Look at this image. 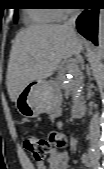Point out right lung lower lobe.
I'll return each instance as SVG.
<instances>
[{
    "mask_svg": "<svg viewBox=\"0 0 104 169\" xmlns=\"http://www.w3.org/2000/svg\"><path fill=\"white\" fill-rule=\"evenodd\" d=\"M98 8L84 11L77 19V29L86 39L97 44Z\"/></svg>",
    "mask_w": 104,
    "mask_h": 169,
    "instance_id": "1",
    "label": "right lung lower lobe"
}]
</instances>
